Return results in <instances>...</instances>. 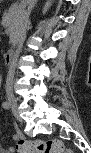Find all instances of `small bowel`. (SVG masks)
<instances>
[{"label":"small bowel","mask_w":91,"mask_h":153,"mask_svg":"<svg viewBox=\"0 0 91 153\" xmlns=\"http://www.w3.org/2000/svg\"><path fill=\"white\" fill-rule=\"evenodd\" d=\"M14 138L17 139L18 136H15ZM19 139H21V138H19ZM1 151L4 152V153H12V152H14V148L9 147L8 149H4V148L1 147Z\"/></svg>","instance_id":"small-bowel-1"}]
</instances>
